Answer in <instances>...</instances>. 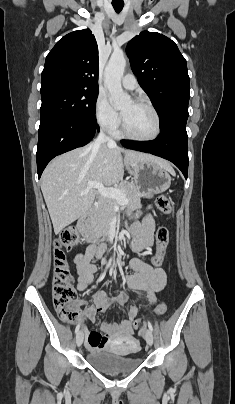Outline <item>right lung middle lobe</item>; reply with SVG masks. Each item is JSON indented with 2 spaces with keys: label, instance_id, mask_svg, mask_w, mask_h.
Returning <instances> with one entry per match:
<instances>
[{
  "label": "right lung middle lobe",
  "instance_id": "obj_1",
  "mask_svg": "<svg viewBox=\"0 0 235 404\" xmlns=\"http://www.w3.org/2000/svg\"><path fill=\"white\" fill-rule=\"evenodd\" d=\"M98 90H87L65 83L41 85V119L53 116L95 122Z\"/></svg>",
  "mask_w": 235,
  "mask_h": 404
}]
</instances>
